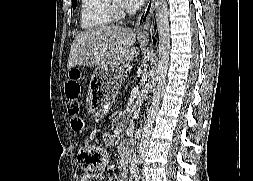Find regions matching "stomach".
Masks as SVG:
<instances>
[{"label": "stomach", "instance_id": "1", "mask_svg": "<svg viewBox=\"0 0 253 181\" xmlns=\"http://www.w3.org/2000/svg\"><path fill=\"white\" fill-rule=\"evenodd\" d=\"M124 77L125 65L95 69L89 85L87 109L93 118H101L109 111Z\"/></svg>", "mask_w": 253, "mask_h": 181}]
</instances>
